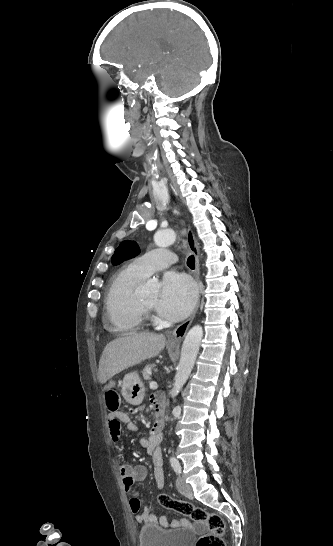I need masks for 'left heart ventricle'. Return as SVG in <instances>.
Wrapping results in <instances>:
<instances>
[{"label":"left heart ventricle","instance_id":"obj_1","mask_svg":"<svg viewBox=\"0 0 333 546\" xmlns=\"http://www.w3.org/2000/svg\"><path fill=\"white\" fill-rule=\"evenodd\" d=\"M141 299L143 300V302L146 305L154 308L157 305V302H158V295L155 294V295H152V296H149V297H142Z\"/></svg>","mask_w":333,"mask_h":546}]
</instances>
